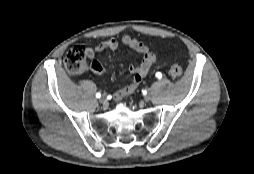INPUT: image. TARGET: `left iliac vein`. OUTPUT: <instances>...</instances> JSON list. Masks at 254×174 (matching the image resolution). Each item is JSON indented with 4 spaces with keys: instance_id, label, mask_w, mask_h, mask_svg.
I'll return each instance as SVG.
<instances>
[{
    "instance_id": "4c4485c4",
    "label": "left iliac vein",
    "mask_w": 254,
    "mask_h": 174,
    "mask_svg": "<svg viewBox=\"0 0 254 174\" xmlns=\"http://www.w3.org/2000/svg\"><path fill=\"white\" fill-rule=\"evenodd\" d=\"M151 97H152V92H151V90H149V91L147 92V94L144 96V100H145V101H150V100H151Z\"/></svg>"
}]
</instances>
